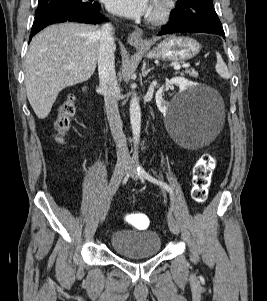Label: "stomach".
<instances>
[{"label": "stomach", "instance_id": "obj_1", "mask_svg": "<svg viewBox=\"0 0 267 301\" xmlns=\"http://www.w3.org/2000/svg\"><path fill=\"white\" fill-rule=\"evenodd\" d=\"M140 51L146 52L148 58H158L166 61H186L195 57L201 45L194 39L182 36H168L151 50L136 46Z\"/></svg>", "mask_w": 267, "mask_h": 301}]
</instances>
